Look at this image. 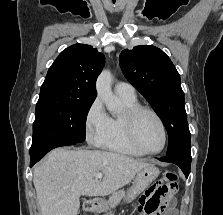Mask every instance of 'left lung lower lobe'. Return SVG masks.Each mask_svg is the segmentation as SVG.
<instances>
[{"mask_svg": "<svg viewBox=\"0 0 223 215\" xmlns=\"http://www.w3.org/2000/svg\"><path fill=\"white\" fill-rule=\"evenodd\" d=\"M160 161L163 162H169V163H174L178 165L183 173L185 174L186 177H188L190 173V165H191V158H182V157H175V156H165L163 158L159 159Z\"/></svg>", "mask_w": 223, "mask_h": 215, "instance_id": "0a47b994", "label": "left lung lower lobe"}]
</instances>
